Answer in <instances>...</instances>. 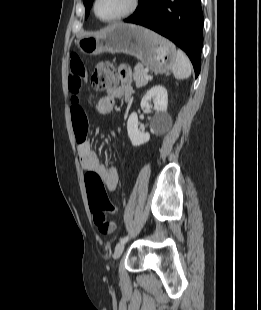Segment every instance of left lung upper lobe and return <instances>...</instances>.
I'll return each mask as SVG.
<instances>
[{"label":"left lung upper lobe","instance_id":"left-lung-upper-lobe-1","mask_svg":"<svg viewBox=\"0 0 261 310\" xmlns=\"http://www.w3.org/2000/svg\"><path fill=\"white\" fill-rule=\"evenodd\" d=\"M83 2L86 8L85 18H87L89 15V11L92 6L93 0H83Z\"/></svg>","mask_w":261,"mask_h":310}]
</instances>
